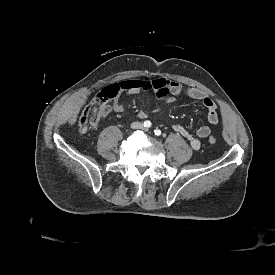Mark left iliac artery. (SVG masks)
<instances>
[{
  "label": "left iliac artery",
  "instance_id": "left-iliac-artery-1",
  "mask_svg": "<svg viewBox=\"0 0 275 275\" xmlns=\"http://www.w3.org/2000/svg\"><path fill=\"white\" fill-rule=\"evenodd\" d=\"M146 128H147V127H146ZM154 134L157 135V136H160V135H161V130L155 129V130H154Z\"/></svg>",
  "mask_w": 275,
  "mask_h": 275
}]
</instances>
